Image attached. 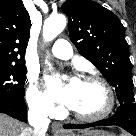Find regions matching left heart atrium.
Here are the masks:
<instances>
[{
    "instance_id": "1",
    "label": "left heart atrium",
    "mask_w": 136,
    "mask_h": 136,
    "mask_svg": "<svg viewBox=\"0 0 136 136\" xmlns=\"http://www.w3.org/2000/svg\"><path fill=\"white\" fill-rule=\"evenodd\" d=\"M48 89L51 95L60 103L73 108L76 100L81 81L78 78H72L65 87L59 85L55 78L47 79Z\"/></svg>"
}]
</instances>
